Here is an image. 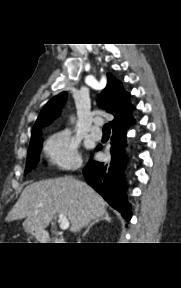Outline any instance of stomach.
<instances>
[{"label":"stomach","mask_w":181,"mask_h":288,"mask_svg":"<svg viewBox=\"0 0 181 288\" xmlns=\"http://www.w3.org/2000/svg\"><path fill=\"white\" fill-rule=\"evenodd\" d=\"M25 231L27 233H29L30 235L34 236L38 240H42L44 238V233L43 232L36 231L33 228L26 227Z\"/></svg>","instance_id":"stomach-1"}]
</instances>
